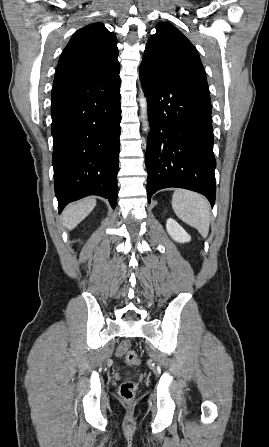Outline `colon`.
Masks as SVG:
<instances>
[{
  "instance_id": "obj_1",
  "label": "colon",
  "mask_w": 269,
  "mask_h": 447,
  "mask_svg": "<svg viewBox=\"0 0 269 447\" xmlns=\"http://www.w3.org/2000/svg\"><path fill=\"white\" fill-rule=\"evenodd\" d=\"M122 359L127 365H136L139 362L137 353L133 350H123ZM137 384L133 380H125L119 387V396L123 402L130 403L134 400Z\"/></svg>"
}]
</instances>
